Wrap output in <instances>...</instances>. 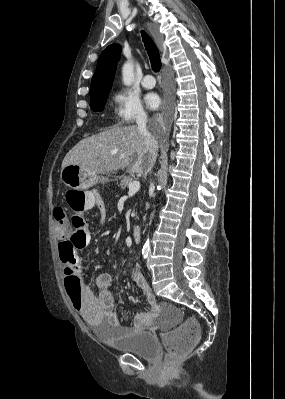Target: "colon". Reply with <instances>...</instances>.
<instances>
[{"label":"colon","mask_w":285,"mask_h":399,"mask_svg":"<svg viewBox=\"0 0 285 399\" xmlns=\"http://www.w3.org/2000/svg\"><path fill=\"white\" fill-rule=\"evenodd\" d=\"M66 204L72 211V216L68 218L66 215H63L61 220L69 223L71 232L66 239L59 243V256L61 261L70 268V266L75 265L77 252L91 240V232L86 225L83 212L85 193L68 191L66 194ZM65 287L73 304L78 306L82 293L80 284L67 278L65 280ZM200 333V327L194 320H186L171 330L165 331L163 340L167 345L166 363L169 365L176 359L188 354L199 340Z\"/></svg>","instance_id":"1"}]
</instances>
